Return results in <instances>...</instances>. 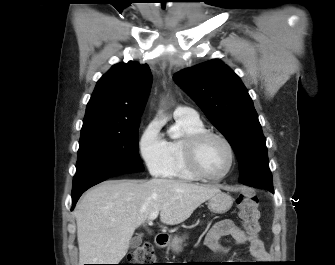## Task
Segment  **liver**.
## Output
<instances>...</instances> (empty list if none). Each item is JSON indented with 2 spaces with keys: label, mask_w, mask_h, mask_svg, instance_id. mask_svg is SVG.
<instances>
[{
  "label": "liver",
  "mask_w": 335,
  "mask_h": 265,
  "mask_svg": "<svg viewBox=\"0 0 335 265\" xmlns=\"http://www.w3.org/2000/svg\"><path fill=\"white\" fill-rule=\"evenodd\" d=\"M220 189L183 181L109 180L89 190L75 208L79 265L118 264L136 228L154 211L167 225L187 220Z\"/></svg>",
  "instance_id": "liver-1"
}]
</instances>
